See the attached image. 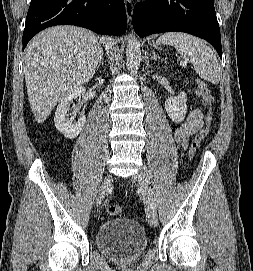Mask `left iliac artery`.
<instances>
[{
    "instance_id": "44dca946",
    "label": "left iliac artery",
    "mask_w": 253,
    "mask_h": 271,
    "mask_svg": "<svg viewBox=\"0 0 253 271\" xmlns=\"http://www.w3.org/2000/svg\"><path fill=\"white\" fill-rule=\"evenodd\" d=\"M149 195H150V198H151L152 203H153V204L155 205V207H156L155 197H154V193H153L152 189H149Z\"/></svg>"
}]
</instances>
